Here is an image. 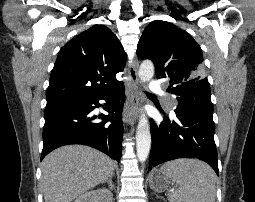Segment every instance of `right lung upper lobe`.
Segmentation results:
<instances>
[{
	"mask_svg": "<svg viewBox=\"0 0 255 202\" xmlns=\"http://www.w3.org/2000/svg\"><path fill=\"white\" fill-rule=\"evenodd\" d=\"M126 59L118 38L104 25H94L76 35L58 54L46 93V106L115 88L122 83L116 74L123 71Z\"/></svg>",
	"mask_w": 255,
	"mask_h": 202,
	"instance_id": "right-lung-upper-lobe-1",
	"label": "right lung upper lobe"
}]
</instances>
